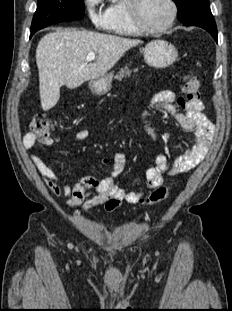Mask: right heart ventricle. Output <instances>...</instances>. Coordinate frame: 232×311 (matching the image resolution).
<instances>
[{"label":"right heart ventricle","instance_id":"e07e8e85","mask_svg":"<svg viewBox=\"0 0 232 311\" xmlns=\"http://www.w3.org/2000/svg\"><path fill=\"white\" fill-rule=\"evenodd\" d=\"M107 17L105 29L109 32L121 36H138L141 34L130 20L127 0H112L107 8Z\"/></svg>","mask_w":232,"mask_h":311}]
</instances>
